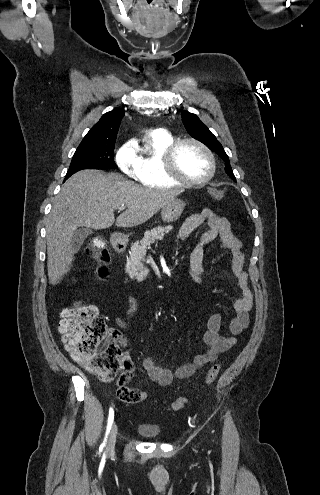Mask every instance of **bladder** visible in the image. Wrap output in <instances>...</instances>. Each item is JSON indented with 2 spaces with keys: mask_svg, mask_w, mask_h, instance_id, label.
Listing matches in <instances>:
<instances>
[{
  "mask_svg": "<svg viewBox=\"0 0 320 495\" xmlns=\"http://www.w3.org/2000/svg\"><path fill=\"white\" fill-rule=\"evenodd\" d=\"M138 433L147 438H156L160 435V427L155 424L143 423L140 424L137 428Z\"/></svg>",
  "mask_w": 320,
  "mask_h": 495,
  "instance_id": "31cf9c89",
  "label": "bladder"
}]
</instances>
